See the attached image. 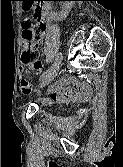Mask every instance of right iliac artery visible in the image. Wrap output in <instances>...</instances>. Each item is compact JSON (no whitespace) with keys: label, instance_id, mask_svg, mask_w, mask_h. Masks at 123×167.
<instances>
[{"label":"right iliac artery","instance_id":"right-iliac-artery-1","mask_svg":"<svg viewBox=\"0 0 123 167\" xmlns=\"http://www.w3.org/2000/svg\"><path fill=\"white\" fill-rule=\"evenodd\" d=\"M61 60H62V54L59 53L56 57V60L53 64V66L41 76V80H43L48 75V73L52 70V68L55 67L57 64H59L61 62Z\"/></svg>","mask_w":123,"mask_h":167}]
</instances>
